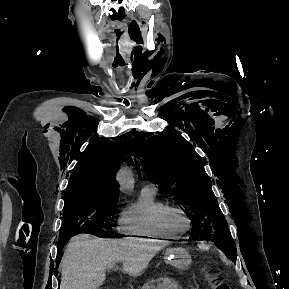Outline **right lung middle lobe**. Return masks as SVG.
Segmentation results:
<instances>
[{
	"instance_id": "dd1d6c3e",
	"label": "right lung middle lobe",
	"mask_w": 289,
	"mask_h": 289,
	"mask_svg": "<svg viewBox=\"0 0 289 289\" xmlns=\"http://www.w3.org/2000/svg\"><path fill=\"white\" fill-rule=\"evenodd\" d=\"M119 194L85 195L67 198L64 201V217L59 240L67 242L75 234L86 233L109 237L108 214L114 213ZM58 240V241H59Z\"/></svg>"
}]
</instances>
